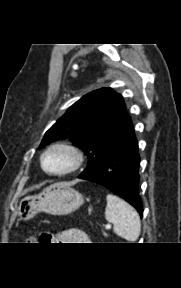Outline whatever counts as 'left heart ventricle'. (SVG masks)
I'll list each match as a JSON object with an SVG mask.
<instances>
[{
    "label": "left heart ventricle",
    "mask_w": 181,
    "mask_h": 288,
    "mask_svg": "<svg viewBox=\"0 0 181 288\" xmlns=\"http://www.w3.org/2000/svg\"><path fill=\"white\" fill-rule=\"evenodd\" d=\"M71 163V157L62 150H54L45 158V167L47 170L56 172L66 169Z\"/></svg>",
    "instance_id": "obj_1"
}]
</instances>
